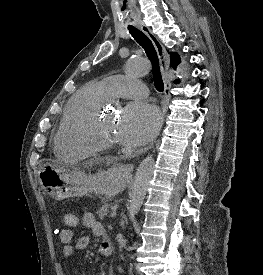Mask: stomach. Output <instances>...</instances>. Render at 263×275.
I'll return each instance as SVG.
<instances>
[{"label":"stomach","instance_id":"0dacf381","mask_svg":"<svg viewBox=\"0 0 263 275\" xmlns=\"http://www.w3.org/2000/svg\"><path fill=\"white\" fill-rule=\"evenodd\" d=\"M39 181L45 192L56 200L88 194L114 196L126 186L123 168L112 166L95 174L65 166L46 163L39 171Z\"/></svg>","mask_w":263,"mask_h":275}]
</instances>
